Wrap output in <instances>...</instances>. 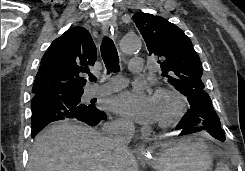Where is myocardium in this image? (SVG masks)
Instances as JSON below:
<instances>
[{"label": "myocardium", "mask_w": 245, "mask_h": 171, "mask_svg": "<svg viewBox=\"0 0 245 171\" xmlns=\"http://www.w3.org/2000/svg\"><path fill=\"white\" fill-rule=\"evenodd\" d=\"M155 96L168 97L174 102L173 111L166 118L159 120L158 126L166 128L178 122L184 115L187 107L184 95L174 88H158L155 91Z\"/></svg>", "instance_id": "f54148a6"}]
</instances>
